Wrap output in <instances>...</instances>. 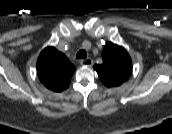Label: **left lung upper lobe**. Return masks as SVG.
<instances>
[{
  "label": "left lung upper lobe",
  "mask_w": 172,
  "mask_h": 134,
  "mask_svg": "<svg viewBox=\"0 0 172 134\" xmlns=\"http://www.w3.org/2000/svg\"><path fill=\"white\" fill-rule=\"evenodd\" d=\"M103 63L94 65L101 82L107 87H116L132 74V61L121 46L108 42L102 52Z\"/></svg>",
  "instance_id": "5c2ea615"
}]
</instances>
